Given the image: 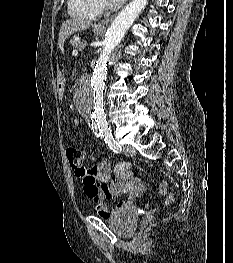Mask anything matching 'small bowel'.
I'll return each mask as SVG.
<instances>
[{
    "instance_id": "small-bowel-1",
    "label": "small bowel",
    "mask_w": 233,
    "mask_h": 263,
    "mask_svg": "<svg viewBox=\"0 0 233 263\" xmlns=\"http://www.w3.org/2000/svg\"><path fill=\"white\" fill-rule=\"evenodd\" d=\"M119 165L123 166V170H118ZM87 168L89 173L79 176L83 181V191L97 205L102 218H108L114 212L109 206L111 200L124 195L125 198L117 204L116 209L131 208L144 191L142 181L129 163L118 164L114 172L107 159Z\"/></svg>"
}]
</instances>
